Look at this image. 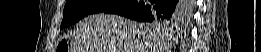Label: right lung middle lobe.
Instances as JSON below:
<instances>
[{"instance_id": "obj_1", "label": "right lung middle lobe", "mask_w": 261, "mask_h": 52, "mask_svg": "<svg viewBox=\"0 0 261 52\" xmlns=\"http://www.w3.org/2000/svg\"><path fill=\"white\" fill-rule=\"evenodd\" d=\"M119 2L118 0H67L60 29L76 23L89 14L103 12ZM181 5L184 11L189 9L188 1H182ZM180 20L181 16L175 19L157 20L154 23L160 24L165 29H172Z\"/></svg>"}]
</instances>
